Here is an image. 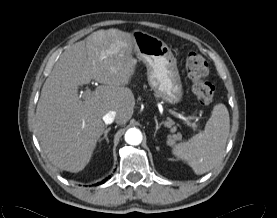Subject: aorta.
<instances>
[{"mask_svg":"<svg viewBox=\"0 0 277 218\" xmlns=\"http://www.w3.org/2000/svg\"><path fill=\"white\" fill-rule=\"evenodd\" d=\"M125 141L130 145H139L142 142V133L137 128H130L125 133Z\"/></svg>","mask_w":277,"mask_h":218,"instance_id":"1","label":"aorta"}]
</instances>
